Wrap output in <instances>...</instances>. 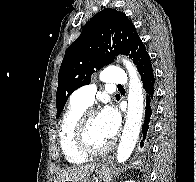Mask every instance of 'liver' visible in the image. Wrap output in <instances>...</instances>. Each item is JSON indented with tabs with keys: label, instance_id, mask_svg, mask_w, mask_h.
I'll use <instances>...</instances> for the list:
<instances>
[{
	"label": "liver",
	"instance_id": "6515ba94",
	"mask_svg": "<svg viewBox=\"0 0 196 182\" xmlns=\"http://www.w3.org/2000/svg\"><path fill=\"white\" fill-rule=\"evenodd\" d=\"M95 166L96 164L92 163L84 166L69 167L57 177V182L63 180L86 181L93 173Z\"/></svg>",
	"mask_w": 196,
	"mask_h": 182
}]
</instances>
